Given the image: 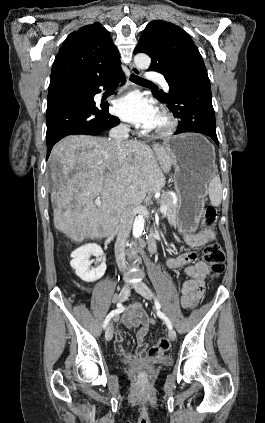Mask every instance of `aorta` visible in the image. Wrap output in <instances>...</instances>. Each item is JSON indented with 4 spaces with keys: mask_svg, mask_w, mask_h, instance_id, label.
I'll return each mask as SVG.
<instances>
[{
    "mask_svg": "<svg viewBox=\"0 0 265 423\" xmlns=\"http://www.w3.org/2000/svg\"><path fill=\"white\" fill-rule=\"evenodd\" d=\"M134 63L139 69H148L151 63V59L144 53H139L134 57ZM145 225V218L142 215H138L133 223L132 234L133 237L138 239L143 233Z\"/></svg>",
    "mask_w": 265,
    "mask_h": 423,
    "instance_id": "1",
    "label": "aorta"
}]
</instances>
